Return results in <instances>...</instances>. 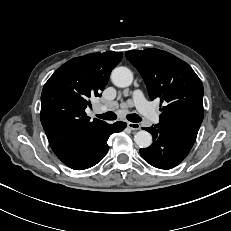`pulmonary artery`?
<instances>
[{
  "label": "pulmonary artery",
  "instance_id": "obj_1",
  "mask_svg": "<svg viewBox=\"0 0 231 231\" xmlns=\"http://www.w3.org/2000/svg\"><path fill=\"white\" fill-rule=\"evenodd\" d=\"M133 102L137 109L145 115L151 122H157L158 121V115L156 111L153 109V107L147 102L145 99L143 93L140 90H135L133 92ZM114 104L103 106L102 110H105L107 108L113 107Z\"/></svg>",
  "mask_w": 231,
  "mask_h": 231
}]
</instances>
